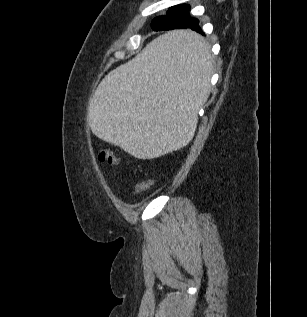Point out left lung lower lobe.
Returning a JSON list of instances; mask_svg holds the SVG:
<instances>
[{
    "instance_id": "obj_1",
    "label": "left lung lower lobe",
    "mask_w": 307,
    "mask_h": 317,
    "mask_svg": "<svg viewBox=\"0 0 307 317\" xmlns=\"http://www.w3.org/2000/svg\"><path fill=\"white\" fill-rule=\"evenodd\" d=\"M158 18V17H157ZM155 18L152 21L151 27L154 31H165V30H173V29H188V31L184 32L180 36H177L169 41V49L171 51L179 50L185 47H194L197 45L198 41L200 40V36L190 30L196 31L199 34L205 35L204 32L201 30L199 25V20L196 18H192L187 24L178 25L177 27L173 28L169 22L157 20Z\"/></svg>"
}]
</instances>
